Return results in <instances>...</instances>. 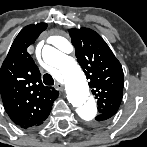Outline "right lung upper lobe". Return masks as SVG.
<instances>
[{
  "label": "right lung upper lobe",
  "mask_w": 147,
  "mask_h": 147,
  "mask_svg": "<svg viewBox=\"0 0 147 147\" xmlns=\"http://www.w3.org/2000/svg\"><path fill=\"white\" fill-rule=\"evenodd\" d=\"M47 28L46 23L24 27L15 38L0 69V92L11 120L29 128L48 117L59 92L46 87L27 47Z\"/></svg>",
  "instance_id": "right-lung-upper-lobe-1"
}]
</instances>
